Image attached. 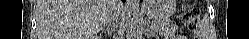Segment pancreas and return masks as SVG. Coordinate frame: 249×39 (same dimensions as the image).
<instances>
[{"mask_svg":"<svg viewBox=\"0 0 249 39\" xmlns=\"http://www.w3.org/2000/svg\"><path fill=\"white\" fill-rule=\"evenodd\" d=\"M152 29L154 30V32L171 36L177 32L178 27L173 24H167L164 21H154Z\"/></svg>","mask_w":249,"mask_h":39,"instance_id":"obj_1","label":"pancreas"}]
</instances>
